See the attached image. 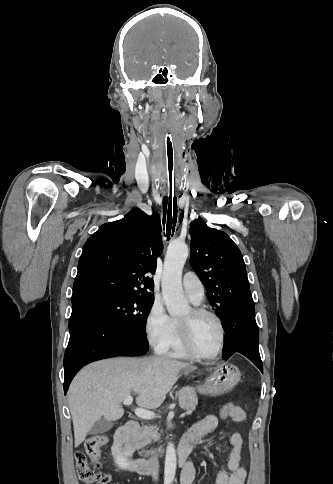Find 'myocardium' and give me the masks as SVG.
<instances>
[{"label":"myocardium","instance_id":"myocardium-1","mask_svg":"<svg viewBox=\"0 0 333 484\" xmlns=\"http://www.w3.org/2000/svg\"><path fill=\"white\" fill-rule=\"evenodd\" d=\"M190 312V317L188 319L178 320L180 337L184 348L192 358L207 362L217 359L221 355L225 345L226 331L222 319L215 312L204 307H193ZM202 316L211 317L217 323L220 331L218 347L216 351L209 356L202 355L196 350L192 337V322L194 319Z\"/></svg>","mask_w":333,"mask_h":484}]
</instances>
